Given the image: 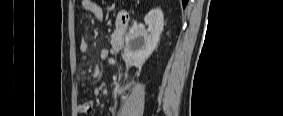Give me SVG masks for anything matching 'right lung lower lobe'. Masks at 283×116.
<instances>
[{
  "label": "right lung lower lobe",
  "instance_id": "obj_1",
  "mask_svg": "<svg viewBox=\"0 0 283 116\" xmlns=\"http://www.w3.org/2000/svg\"><path fill=\"white\" fill-rule=\"evenodd\" d=\"M182 2H183V7H185L187 2H188V0H182Z\"/></svg>",
  "mask_w": 283,
  "mask_h": 116
}]
</instances>
